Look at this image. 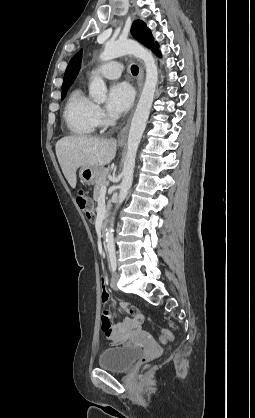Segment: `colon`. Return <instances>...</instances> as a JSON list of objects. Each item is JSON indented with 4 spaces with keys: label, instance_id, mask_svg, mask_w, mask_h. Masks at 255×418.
Wrapping results in <instances>:
<instances>
[{
    "label": "colon",
    "instance_id": "1",
    "mask_svg": "<svg viewBox=\"0 0 255 418\" xmlns=\"http://www.w3.org/2000/svg\"><path fill=\"white\" fill-rule=\"evenodd\" d=\"M76 202L81 211L85 214L89 221L94 220V209L88 195L83 191L79 190L76 194ZM161 338L164 342H170L173 339L171 332L163 331Z\"/></svg>",
    "mask_w": 255,
    "mask_h": 418
}]
</instances>
